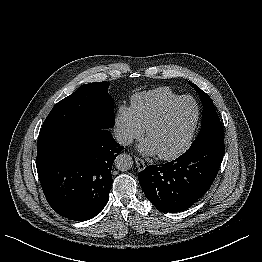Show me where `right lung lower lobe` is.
Masks as SVG:
<instances>
[{
    "instance_id": "right-lung-lower-lobe-1",
    "label": "right lung lower lobe",
    "mask_w": 262,
    "mask_h": 262,
    "mask_svg": "<svg viewBox=\"0 0 262 262\" xmlns=\"http://www.w3.org/2000/svg\"><path fill=\"white\" fill-rule=\"evenodd\" d=\"M122 149L107 129L88 125L42 128L36 167L53 210L77 221L98 215L108 202L112 165Z\"/></svg>"
}]
</instances>
